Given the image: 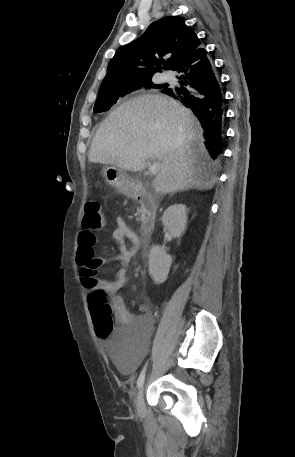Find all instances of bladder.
I'll use <instances>...</instances> for the list:
<instances>
[{
  "label": "bladder",
  "instance_id": "bladder-1",
  "mask_svg": "<svg viewBox=\"0 0 295 457\" xmlns=\"http://www.w3.org/2000/svg\"><path fill=\"white\" fill-rule=\"evenodd\" d=\"M106 347H111L110 354L117 369L130 372L136 365H143L149 338H106Z\"/></svg>",
  "mask_w": 295,
  "mask_h": 457
}]
</instances>
